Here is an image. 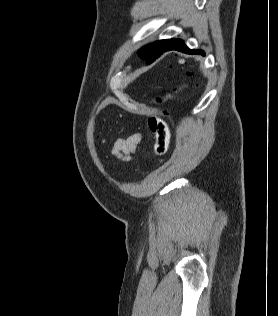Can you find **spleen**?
Here are the masks:
<instances>
[{"instance_id":"3e777b00","label":"spleen","mask_w":278,"mask_h":316,"mask_svg":"<svg viewBox=\"0 0 278 316\" xmlns=\"http://www.w3.org/2000/svg\"><path fill=\"white\" fill-rule=\"evenodd\" d=\"M179 63H183V60H179Z\"/></svg>"}]
</instances>
